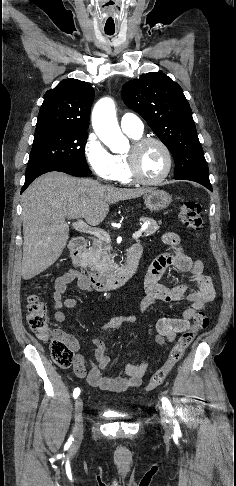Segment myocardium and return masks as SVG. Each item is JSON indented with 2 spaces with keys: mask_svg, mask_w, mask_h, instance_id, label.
I'll list each match as a JSON object with an SVG mask.
<instances>
[{
  "mask_svg": "<svg viewBox=\"0 0 236 486\" xmlns=\"http://www.w3.org/2000/svg\"><path fill=\"white\" fill-rule=\"evenodd\" d=\"M151 143L157 144L162 149L166 159V167L158 178L146 179L139 171L138 153L143 147ZM126 161L131 179L133 182L142 185H158L162 183L169 176L173 167V156L169 147L162 140L155 137H143L135 140L131 146V151L126 155Z\"/></svg>",
  "mask_w": 236,
  "mask_h": 486,
  "instance_id": "myocardium-1",
  "label": "myocardium"
}]
</instances>
